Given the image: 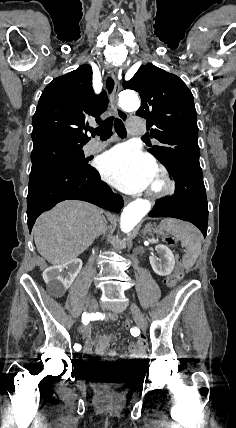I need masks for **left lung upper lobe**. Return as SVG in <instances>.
I'll return each mask as SVG.
<instances>
[{
    "mask_svg": "<svg viewBox=\"0 0 236 428\" xmlns=\"http://www.w3.org/2000/svg\"><path fill=\"white\" fill-rule=\"evenodd\" d=\"M124 89L140 94L141 107L136 112L147 119L151 136L159 141L148 151L166 167L179 165L201 169L198 127L193 95L176 75L155 65H142L133 78L123 82Z\"/></svg>",
    "mask_w": 236,
    "mask_h": 428,
    "instance_id": "obj_1",
    "label": "left lung upper lobe"
}]
</instances>
